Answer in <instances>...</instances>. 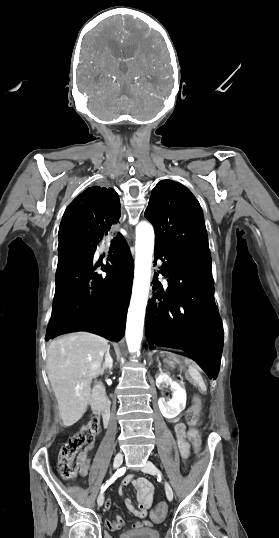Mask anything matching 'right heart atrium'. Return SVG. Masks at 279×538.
<instances>
[{
    "mask_svg": "<svg viewBox=\"0 0 279 538\" xmlns=\"http://www.w3.org/2000/svg\"><path fill=\"white\" fill-rule=\"evenodd\" d=\"M142 242L146 243V242H147V238H146V237H143V238H142Z\"/></svg>",
    "mask_w": 279,
    "mask_h": 538,
    "instance_id": "d8ad5b80",
    "label": "right heart atrium"
}]
</instances>
